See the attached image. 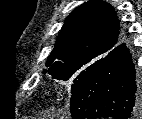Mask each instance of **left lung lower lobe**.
Wrapping results in <instances>:
<instances>
[{"instance_id":"0a47b994","label":"left lung lower lobe","mask_w":142,"mask_h":119,"mask_svg":"<svg viewBox=\"0 0 142 119\" xmlns=\"http://www.w3.org/2000/svg\"><path fill=\"white\" fill-rule=\"evenodd\" d=\"M135 68L125 44L113 48L73 92L70 101L74 119H137Z\"/></svg>"}]
</instances>
